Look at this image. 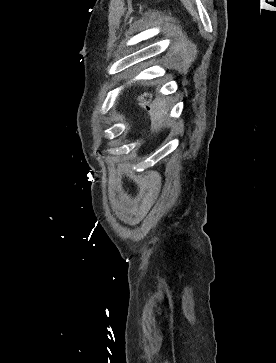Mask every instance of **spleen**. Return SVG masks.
<instances>
[{
  "mask_svg": "<svg viewBox=\"0 0 276 363\" xmlns=\"http://www.w3.org/2000/svg\"><path fill=\"white\" fill-rule=\"evenodd\" d=\"M168 104L169 100L162 97H158L152 103L150 117L155 129L161 128L167 122L169 112Z\"/></svg>",
  "mask_w": 276,
  "mask_h": 363,
  "instance_id": "1",
  "label": "spleen"
}]
</instances>
